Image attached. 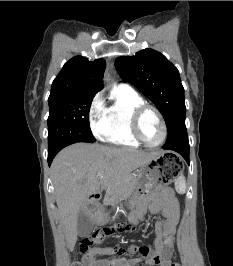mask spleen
<instances>
[{"mask_svg":"<svg viewBox=\"0 0 233 266\" xmlns=\"http://www.w3.org/2000/svg\"><path fill=\"white\" fill-rule=\"evenodd\" d=\"M175 188L177 190L178 193L180 194H184L186 191V180L185 177L182 175L180 176L176 183H175Z\"/></svg>","mask_w":233,"mask_h":266,"instance_id":"1","label":"spleen"}]
</instances>
